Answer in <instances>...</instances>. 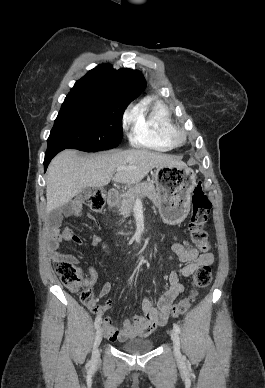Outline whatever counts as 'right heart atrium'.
<instances>
[{
    "label": "right heart atrium",
    "mask_w": 265,
    "mask_h": 388,
    "mask_svg": "<svg viewBox=\"0 0 265 388\" xmlns=\"http://www.w3.org/2000/svg\"><path fill=\"white\" fill-rule=\"evenodd\" d=\"M132 115H133V112H132V111H129V112L127 113V118H131Z\"/></svg>",
    "instance_id": "obj_1"
}]
</instances>
